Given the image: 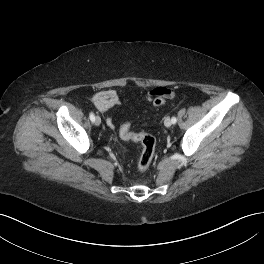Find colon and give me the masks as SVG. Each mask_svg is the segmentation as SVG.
Here are the masks:
<instances>
[{
	"instance_id": "obj_1",
	"label": "colon",
	"mask_w": 264,
	"mask_h": 264,
	"mask_svg": "<svg viewBox=\"0 0 264 264\" xmlns=\"http://www.w3.org/2000/svg\"><path fill=\"white\" fill-rule=\"evenodd\" d=\"M165 103V99L156 98L153 100L154 106H161ZM120 137L126 141L138 142L141 144L142 149L137 162V170L139 172H145L155 155L156 140L147 133H135L131 131V125L125 123L120 128Z\"/></svg>"
}]
</instances>
